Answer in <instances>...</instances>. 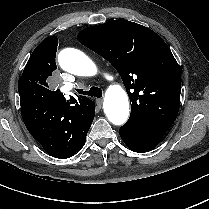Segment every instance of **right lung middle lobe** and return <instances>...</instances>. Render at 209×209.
Returning a JSON list of instances; mask_svg holds the SVG:
<instances>
[{"label":"right lung middle lobe","mask_w":209,"mask_h":209,"mask_svg":"<svg viewBox=\"0 0 209 209\" xmlns=\"http://www.w3.org/2000/svg\"><path fill=\"white\" fill-rule=\"evenodd\" d=\"M55 56V51L47 49L32 54L19 78L18 91L20 93L33 91L40 96H51L52 91L49 90L48 81L56 69Z\"/></svg>","instance_id":"obj_1"}]
</instances>
